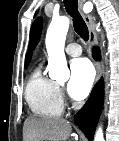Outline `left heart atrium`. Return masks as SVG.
<instances>
[{"label":"left heart atrium","instance_id":"39dd6f15","mask_svg":"<svg viewBox=\"0 0 119 141\" xmlns=\"http://www.w3.org/2000/svg\"><path fill=\"white\" fill-rule=\"evenodd\" d=\"M94 81V70L85 58L74 60L70 64V80L67 85L69 95L75 100L85 98Z\"/></svg>","mask_w":119,"mask_h":141}]
</instances>
